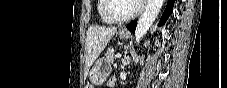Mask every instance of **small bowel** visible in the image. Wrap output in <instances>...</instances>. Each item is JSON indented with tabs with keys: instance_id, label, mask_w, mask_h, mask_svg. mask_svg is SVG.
Instances as JSON below:
<instances>
[{
	"instance_id": "c3829d8e",
	"label": "small bowel",
	"mask_w": 227,
	"mask_h": 88,
	"mask_svg": "<svg viewBox=\"0 0 227 88\" xmlns=\"http://www.w3.org/2000/svg\"><path fill=\"white\" fill-rule=\"evenodd\" d=\"M109 84L112 85V84H113V80H111V81L109 82Z\"/></svg>"
}]
</instances>
